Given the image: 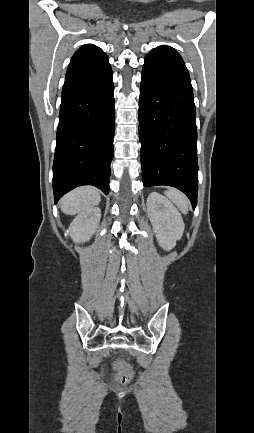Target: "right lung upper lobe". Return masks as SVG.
<instances>
[{
  "label": "right lung upper lobe",
  "mask_w": 254,
  "mask_h": 433,
  "mask_svg": "<svg viewBox=\"0 0 254 433\" xmlns=\"http://www.w3.org/2000/svg\"><path fill=\"white\" fill-rule=\"evenodd\" d=\"M107 55L93 44H85L80 47L73 55L68 70L94 65L105 60Z\"/></svg>",
  "instance_id": "right-lung-upper-lobe-1"
}]
</instances>
